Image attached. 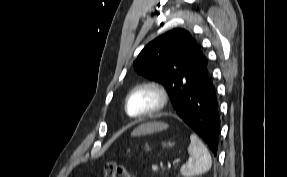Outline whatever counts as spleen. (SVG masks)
<instances>
[{
  "label": "spleen",
  "instance_id": "spleen-1",
  "mask_svg": "<svg viewBox=\"0 0 287 177\" xmlns=\"http://www.w3.org/2000/svg\"><path fill=\"white\" fill-rule=\"evenodd\" d=\"M190 145L188 153L190 158L188 162L182 165L180 172L185 177H193L207 172L212 165V159L206 146L200 139L192 134L190 136Z\"/></svg>",
  "mask_w": 287,
  "mask_h": 177
}]
</instances>
